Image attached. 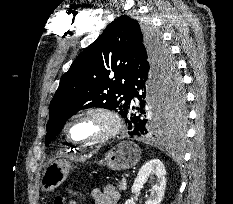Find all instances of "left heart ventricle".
Here are the masks:
<instances>
[{
    "instance_id": "obj_1",
    "label": "left heart ventricle",
    "mask_w": 233,
    "mask_h": 204,
    "mask_svg": "<svg viewBox=\"0 0 233 204\" xmlns=\"http://www.w3.org/2000/svg\"><path fill=\"white\" fill-rule=\"evenodd\" d=\"M109 125L100 117H84L77 119L69 128L70 135L75 140H91L105 133Z\"/></svg>"
}]
</instances>
